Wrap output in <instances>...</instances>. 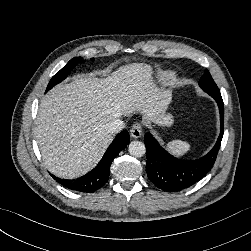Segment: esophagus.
Instances as JSON below:
<instances>
[{
	"label": "esophagus",
	"instance_id": "esophagus-1",
	"mask_svg": "<svg viewBox=\"0 0 251 251\" xmlns=\"http://www.w3.org/2000/svg\"><path fill=\"white\" fill-rule=\"evenodd\" d=\"M130 135L132 138L137 139L142 135V125L140 123H135L130 129Z\"/></svg>",
	"mask_w": 251,
	"mask_h": 251
}]
</instances>
